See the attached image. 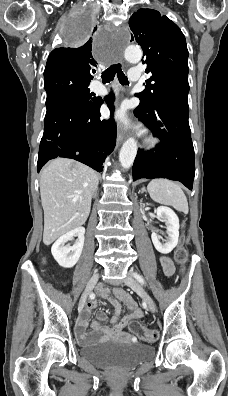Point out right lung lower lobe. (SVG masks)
I'll return each mask as SVG.
<instances>
[{"label":"right lung lower lobe","instance_id":"obj_1","mask_svg":"<svg viewBox=\"0 0 228 396\" xmlns=\"http://www.w3.org/2000/svg\"><path fill=\"white\" fill-rule=\"evenodd\" d=\"M113 116L114 95L105 98ZM101 98L71 101L47 112L40 142L37 170L56 157L73 158L98 172L116 144V125L100 119Z\"/></svg>","mask_w":228,"mask_h":396}]
</instances>
